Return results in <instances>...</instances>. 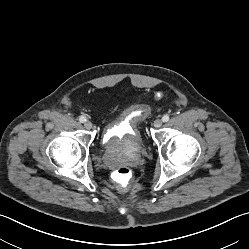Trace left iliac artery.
Segmentation results:
<instances>
[{"label": "left iliac artery", "instance_id": "left-iliac-artery-1", "mask_svg": "<svg viewBox=\"0 0 249 249\" xmlns=\"http://www.w3.org/2000/svg\"><path fill=\"white\" fill-rule=\"evenodd\" d=\"M169 120V116L168 115H164L163 117H162V121L163 122H167Z\"/></svg>", "mask_w": 249, "mask_h": 249}]
</instances>
